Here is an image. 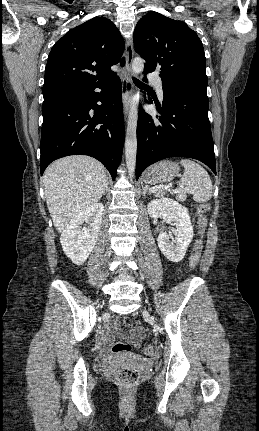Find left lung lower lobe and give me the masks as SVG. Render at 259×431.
I'll use <instances>...</instances> for the list:
<instances>
[{
    "mask_svg": "<svg viewBox=\"0 0 259 431\" xmlns=\"http://www.w3.org/2000/svg\"><path fill=\"white\" fill-rule=\"evenodd\" d=\"M143 80L147 82L146 77ZM163 95L162 107L156 103L162 116L152 118L139 110L136 179L150 164L168 157L197 159L216 174L207 94L163 86Z\"/></svg>",
    "mask_w": 259,
    "mask_h": 431,
    "instance_id": "left-lung-lower-lobe-1",
    "label": "left lung lower lobe"
}]
</instances>
